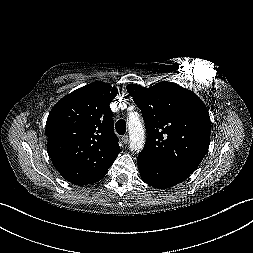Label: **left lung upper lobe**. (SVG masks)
<instances>
[{"instance_id":"5c2ea615","label":"left lung upper lobe","mask_w":253,"mask_h":253,"mask_svg":"<svg viewBox=\"0 0 253 253\" xmlns=\"http://www.w3.org/2000/svg\"><path fill=\"white\" fill-rule=\"evenodd\" d=\"M127 91L141 109L148 134L140 154L160 168L193 173L210 144L211 121L203 101L167 81L150 88L129 84Z\"/></svg>"}]
</instances>
